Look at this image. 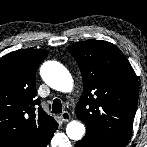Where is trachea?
<instances>
[{"instance_id":"3493384b","label":"trachea","mask_w":147,"mask_h":147,"mask_svg":"<svg viewBox=\"0 0 147 147\" xmlns=\"http://www.w3.org/2000/svg\"><path fill=\"white\" fill-rule=\"evenodd\" d=\"M62 112V103L59 99H54L52 113H61Z\"/></svg>"}]
</instances>
